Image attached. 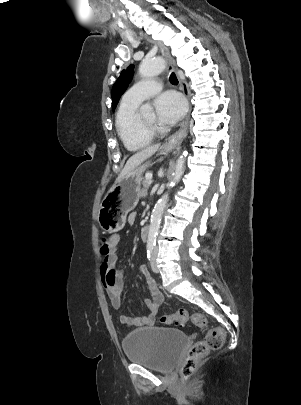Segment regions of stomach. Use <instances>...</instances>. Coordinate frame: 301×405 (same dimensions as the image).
<instances>
[{
  "mask_svg": "<svg viewBox=\"0 0 301 405\" xmlns=\"http://www.w3.org/2000/svg\"><path fill=\"white\" fill-rule=\"evenodd\" d=\"M163 151L168 152L169 149L165 148ZM149 164V161L140 164L109 189L101 203L98 216V222L103 230L118 231L123 228L126 215L139 201L142 174Z\"/></svg>",
  "mask_w": 301,
  "mask_h": 405,
  "instance_id": "1",
  "label": "stomach"
}]
</instances>
